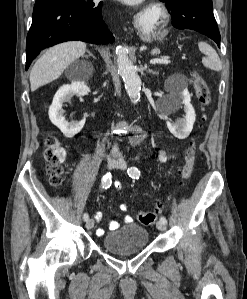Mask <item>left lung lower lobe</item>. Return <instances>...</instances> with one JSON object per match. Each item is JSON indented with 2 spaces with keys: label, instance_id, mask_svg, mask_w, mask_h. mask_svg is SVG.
Listing matches in <instances>:
<instances>
[{
  "label": "left lung lower lobe",
  "instance_id": "left-lung-lower-lobe-1",
  "mask_svg": "<svg viewBox=\"0 0 247 299\" xmlns=\"http://www.w3.org/2000/svg\"><path fill=\"white\" fill-rule=\"evenodd\" d=\"M164 3L175 28L200 32L220 47V33L213 14L212 0H167Z\"/></svg>",
  "mask_w": 247,
  "mask_h": 299
}]
</instances>
